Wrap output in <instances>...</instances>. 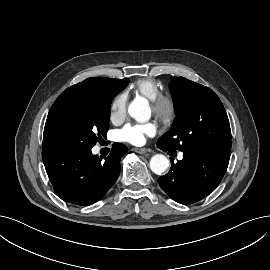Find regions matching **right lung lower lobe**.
I'll return each mask as SVG.
<instances>
[{"instance_id":"right-lung-lower-lobe-1","label":"right lung lower lobe","mask_w":270,"mask_h":270,"mask_svg":"<svg viewBox=\"0 0 270 270\" xmlns=\"http://www.w3.org/2000/svg\"><path fill=\"white\" fill-rule=\"evenodd\" d=\"M128 151L115 143L104 162L91 149L50 147L42 158L56 194L64 201L88 206L100 200L116 181L120 159Z\"/></svg>"}]
</instances>
